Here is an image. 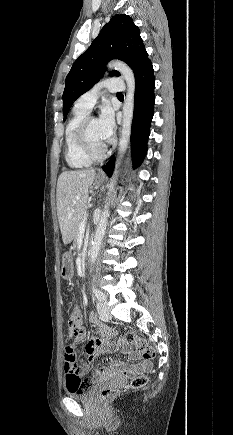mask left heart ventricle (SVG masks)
<instances>
[{"label":"left heart ventricle","mask_w":233,"mask_h":435,"mask_svg":"<svg viewBox=\"0 0 233 435\" xmlns=\"http://www.w3.org/2000/svg\"><path fill=\"white\" fill-rule=\"evenodd\" d=\"M88 135L90 144L95 151H102L107 146V142L102 137L97 119L91 120L88 129Z\"/></svg>","instance_id":"1"}]
</instances>
